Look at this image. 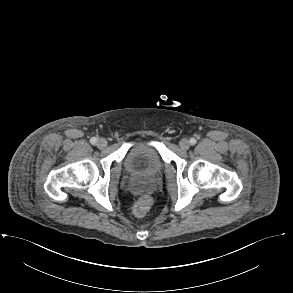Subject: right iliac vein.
Returning <instances> with one entry per match:
<instances>
[{
  "label": "right iliac vein",
  "mask_w": 293,
  "mask_h": 293,
  "mask_svg": "<svg viewBox=\"0 0 293 293\" xmlns=\"http://www.w3.org/2000/svg\"><path fill=\"white\" fill-rule=\"evenodd\" d=\"M107 140L106 139H104V138H100L98 141H97V145H98V147H100V148H104V147H106L107 146Z\"/></svg>",
  "instance_id": "63e3f726"
}]
</instances>
